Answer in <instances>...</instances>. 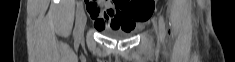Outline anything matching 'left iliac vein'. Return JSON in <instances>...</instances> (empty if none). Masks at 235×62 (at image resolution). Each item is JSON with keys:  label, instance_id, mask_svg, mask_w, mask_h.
Segmentation results:
<instances>
[{"label": "left iliac vein", "instance_id": "4c4485c4", "mask_svg": "<svg viewBox=\"0 0 235 62\" xmlns=\"http://www.w3.org/2000/svg\"><path fill=\"white\" fill-rule=\"evenodd\" d=\"M155 32L157 34V37H158V41H162L163 40V35L161 34L160 32V29L155 25Z\"/></svg>", "mask_w": 235, "mask_h": 62}]
</instances>
